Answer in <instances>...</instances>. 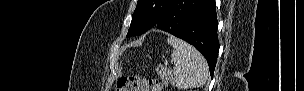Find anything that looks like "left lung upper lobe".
I'll list each match as a JSON object with an SVG mask.
<instances>
[{"label":"left lung upper lobe","instance_id":"left-lung-upper-lobe-1","mask_svg":"<svg viewBox=\"0 0 304 91\" xmlns=\"http://www.w3.org/2000/svg\"><path fill=\"white\" fill-rule=\"evenodd\" d=\"M174 0H138L127 37L141 35L164 16Z\"/></svg>","mask_w":304,"mask_h":91}]
</instances>
